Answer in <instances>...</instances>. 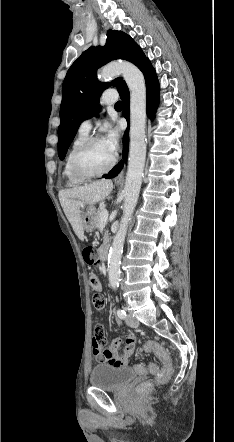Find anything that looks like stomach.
Returning <instances> with one entry per match:
<instances>
[{
  "mask_svg": "<svg viewBox=\"0 0 234 442\" xmlns=\"http://www.w3.org/2000/svg\"><path fill=\"white\" fill-rule=\"evenodd\" d=\"M94 205H85L81 208V222L83 229L92 232L95 229V212Z\"/></svg>",
  "mask_w": 234,
  "mask_h": 442,
  "instance_id": "stomach-1",
  "label": "stomach"
}]
</instances>
